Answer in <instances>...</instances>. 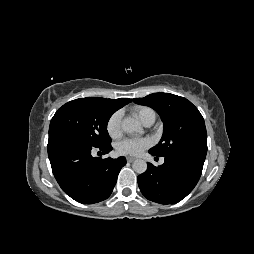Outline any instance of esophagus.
I'll list each match as a JSON object with an SVG mask.
<instances>
[{"label": "esophagus", "mask_w": 254, "mask_h": 254, "mask_svg": "<svg viewBox=\"0 0 254 254\" xmlns=\"http://www.w3.org/2000/svg\"><path fill=\"white\" fill-rule=\"evenodd\" d=\"M127 162H133L135 160L134 157H126Z\"/></svg>", "instance_id": "1"}]
</instances>
